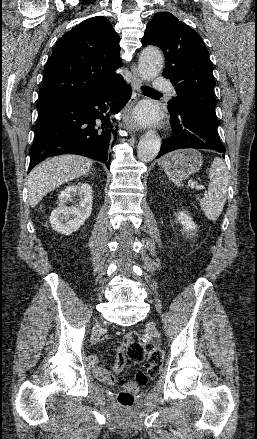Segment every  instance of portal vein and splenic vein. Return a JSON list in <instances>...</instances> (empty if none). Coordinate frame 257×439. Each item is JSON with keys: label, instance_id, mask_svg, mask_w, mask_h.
<instances>
[{"label": "portal vein and splenic vein", "instance_id": "obj_1", "mask_svg": "<svg viewBox=\"0 0 257 439\" xmlns=\"http://www.w3.org/2000/svg\"><path fill=\"white\" fill-rule=\"evenodd\" d=\"M190 184H191V187H192V188H194V187L196 186V189H198V190H202V189H204V186H202V185H196L195 182H193V181H191Z\"/></svg>", "mask_w": 257, "mask_h": 439}]
</instances>
